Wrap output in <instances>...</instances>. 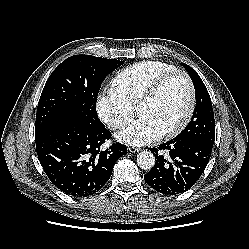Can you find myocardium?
Listing matches in <instances>:
<instances>
[{"label": "myocardium", "instance_id": "1", "mask_svg": "<svg viewBox=\"0 0 249 249\" xmlns=\"http://www.w3.org/2000/svg\"><path fill=\"white\" fill-rule=\"evenodd\" d=\"M175 76H181L186 82L189 94L188 107L181 121L173 128L164 132L163 135L167 138L180 134L187 127L194 114L196 107V91L190 75L186 71L178 69L163 74L148 87L136 104L137 109L139 106L151 102L157 96L164 84Z\"/></svg>", "mask_w": 249, "mask_h": 249}]
</instances>
